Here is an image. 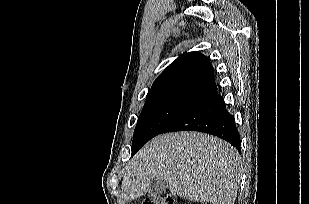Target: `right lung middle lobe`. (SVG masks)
<instances>
[{
	"mask_svg": "<svg viewBox=\"0 0 309 204\" xmlns=\"http://www.w3.org/2000/svg\"><path fill=\"white\" fill-rule=\"evenodd\" d=\"M197 104L182 101L147 103L139 116L134 131L132 156L151 138Z\"/></svg>",
	"mask_w": 309,
	"mask_h": 204,
	"instance_id": "1",
	"label": "right lung middle lobe"
}]
</instances>
